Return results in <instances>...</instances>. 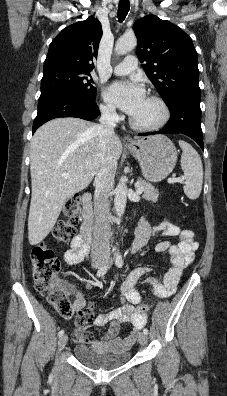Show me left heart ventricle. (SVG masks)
Masks as SVG:
<instances>
[{"instance_id": "obj_1", "label": "left heart ventricle", "mask_w": 227, "mask_h": 396, "mask_svg": "<svg viewBox=\"0 0 227 396\" xmlns=\"http://www.w3.org/2000/svg\"><path fill=\"white\" fill-rule=\"evenodd\" d=\"M132 117L140 124H152L160 119L161 110L156 103L147 98Z\"/></svg>"}]
</instances>
